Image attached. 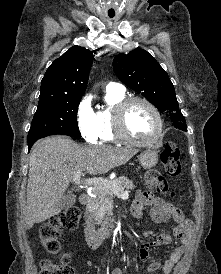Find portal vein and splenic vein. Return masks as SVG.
Wrapping results in <instances>:
<instances>
[{"label":"portal vein and splenic vein","mask_w":221,"mask_h":274,"mask_svg":"<svg viewBox=\"0 0 221 274\" xmlns=\"http://www.w3.org/2000/svg\"><path fill=\"white\" fill-rule=\"evenodd\" d=\"M81 172L75 173L73 176V182L77 185H85V186H100L101 184H106V181H103V179H86L85 181L81 180ZM108 188L112 189L113 192L118 196L121 197L122 199L128 198V191H124L121 188L117 186H107Z\"/></svg>","instance_id":"obj_1"}]
</instances>
